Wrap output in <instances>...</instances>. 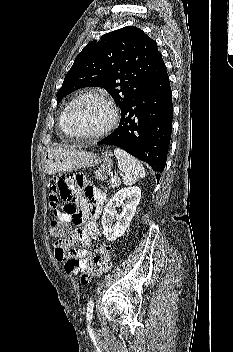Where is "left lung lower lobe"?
I'll use <instances>...</instances> for the list:
<instances>
[{
    "mask_svg": "<svg viewBox=\"0 0 233 352\" xmlns=\"http://www.w3.org/2000/svg\"><path fill=\"white\" fill-rule=\"evenodd\" d=\"M172 95L169 76L162 75L121 110L119 127L98 144L115 145L164 170L172 130ZM157 180L160 175L156 174Z\"/></svg>",
    "mask_w": 233,
    "mask_h": 352,
    "instance_id": "1",
    "label": "left lung lower lobe"
}]
</instances>
